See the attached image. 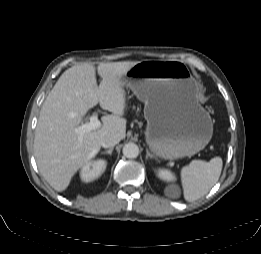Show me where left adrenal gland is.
Returning a JSON list of instances; mask_svg holds the SVG:
<instances>
[{"label":"left adrenal gland","mask_w":261,"mask_h":254,"mask_svg":"<svg viewBox=\"0 0 261 254\" xmlns=\"http://www.w3.org/2000/svg\"><path fill=\"white\" fill-rule=\"evenodd\" d=\"M148 158H154V156L152 154H150L148 149H146V159H148Z\"/></svg>","instance_id":"obj_1"}]
</instances>
